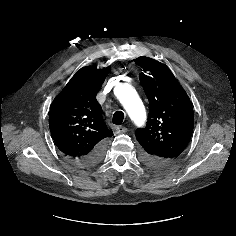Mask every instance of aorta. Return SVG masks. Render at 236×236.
I'll return each instance as SVG.
<instances>
[{
	"label": "aorta",
	"instance_id": "aorta-1",
	"mask_svg": "<svg viewBox=\"0 0 236 236\" xmlns=\"http://www.w3.org/2000/svg\"><path fill=\"white\" fill-rule=\"evenodd\" d=\"M115 94L134 124L142 127L146 122V110L133 87L127 83H120L115 89Z\"/></svg>",
	"mask_w": 236,
	"mask_h": 236
}]
</instances>
